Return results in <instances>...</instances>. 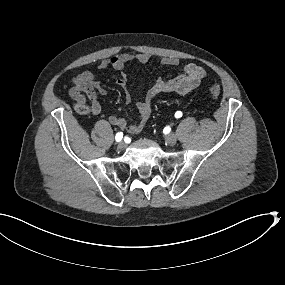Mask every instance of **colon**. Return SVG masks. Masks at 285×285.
Listing matches in <instances>:
<instances>
[{
  "instance_id": "colon-1",
  "label": "colon",
  "mask_w": 285,
  "mask_h": 285,
  "mask_svg": "<svg viewBox=\"0 0 285 285\" xmlns=\"http://www.w3.org/2000/svg\"><path fill=\"white\" fill-rule=\"evenodd\" d=\"M210 93L213 97H218L221 94V87L218 84H212L209 87ZM78 113L87 115L92 112L91 106L88 105L86 102H77L75 106Z\"/></svg>"
}]
</instances>
